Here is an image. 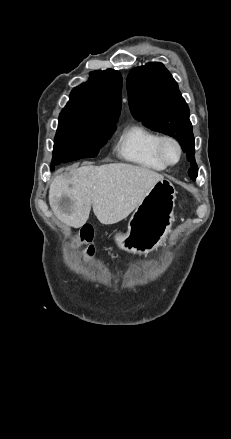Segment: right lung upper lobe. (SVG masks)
Instances as JSON below:
<instances>
[{
  "instance_id": "cb5924a9",
  "label": "right lung upper lobe",
  "mask_w": 231,
  "mask_h": 439,
  "mask_svg": "<svg viewBox=\"0 0 231 439\" xmlns=\"http://www.w3.org/2000/svg\"><path fill=\"white\" fill-rule=\"evenodd\" d=\"M122 76L108 69L90 73L89 82L74 88L59 118L82 117L116 125L121 111Z\"/></svg>"
}]
</instances>
